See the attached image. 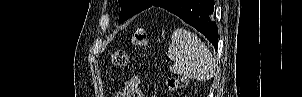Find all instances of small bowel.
<instances>
[{"label": "small bowel", "instance_id": "small-bowel-1", "mask_svg": "<svg viewBox=\"0 0 302 97\" xmlns=\"http://www.w3.org/2000/svg\"><path fill=\"white\" fill-rule=\"evenodd\" d=\"M139 76H133L124 82L123 89L117 97H145L143 91L139 87Z\"/></svg>", "mask_w": 302, "mask_h": 97}]
</instances>
